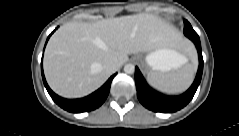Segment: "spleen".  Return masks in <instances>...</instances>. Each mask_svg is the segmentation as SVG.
I'll list each match as a JSON object with an SVG mask.
<instances>
[{
	"instance_id": "1",
	"label": "spleen",
	"mask_w": 239,
	"mask_h": 136,
	"mask_svg": "<svg viewBox=\"0 0 239 136\" xmlns=\"http://www.w3.org/2000/svg\"><path fill=\"white\" fill-rule=\"evenodd\" d=\"M193 77V68H181L167 73L151 71L148 73L147 80L154 88L168 94H174L186 90L191 84Z\"/></svg>"
}]
</instances>
